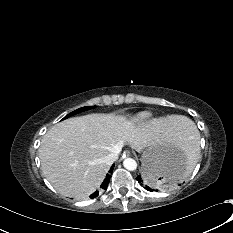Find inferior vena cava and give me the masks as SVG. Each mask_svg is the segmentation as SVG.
Instances as JSON below:
<instances>
[{"label": "inferior vena cava", "instance_id": "602c4592", "mask_svg": "<svg viewBox=\"0 0 233 233\" xmlns=\"http://www.w3.org/2000/svg\"><path fill=\"white\" fill-rule=\"evenodd\" d=\"M120 152V149H117L116 151L108 154L105 158H104V162L107 165H112L117 159H118V153Z\"/></svg>", "mask_w": 233, "mask_h": 233}]
</instances>
